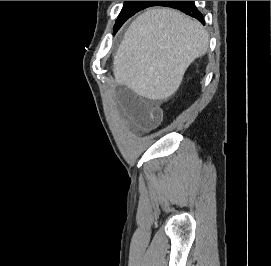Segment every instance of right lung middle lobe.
<instances>
[{"instance_id": "dd1d6c3e", "label": "right lung middle lobe", "mask_w": 271, "mask_h": 266, "mask_svg": "<svg viewBox=\"0 0 271 266\" xmlns=\"http://www.w3.org/2000/svg\"><path fill=\"white\" fill-rule=\"evenodd\" d=\"M159 1H125L124 6L114 25V33L119 30L123 23L138 11L150 6H155Z\"/></svg>"}]
</instances>
